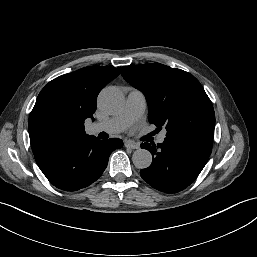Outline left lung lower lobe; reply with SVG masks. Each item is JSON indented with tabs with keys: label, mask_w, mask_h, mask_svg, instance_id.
I'll list each match as a JSON object with an SVG mask.
<instances>
[{
	"label": "left lung lower lobe",
	"mask_w": 257,
	"mask_h": 257,
	"mask_svg": "<svg viewBox=\"0 0 257 257\" xmlns=\"http://www.w3.org/2000/svg\"><path fill=\"white\" fill-rule=\"evenodd\" d=\"M213 136L196 135L181 139L165 138L163 143H142L152 154V164L140 171L153 188L177 193L188 187L204 168L212 151Z\"/></svg>",
	"instance_id": "0a47b994"
}]
</instances>
